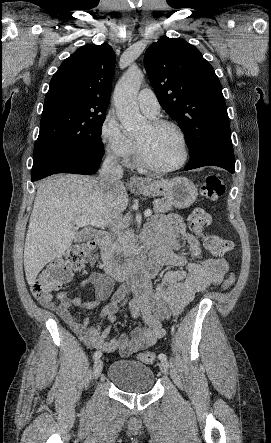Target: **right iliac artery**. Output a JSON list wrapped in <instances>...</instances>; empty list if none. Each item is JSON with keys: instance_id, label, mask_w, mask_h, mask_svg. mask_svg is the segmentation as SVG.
Wrapping results in <instances>:
<instances>
[{"instance_id": "obj_1", "label": "right iliac artery", "mask_w": 271, "mask_h": 443, "mask_svg": "<svg viewBox=\"0 0 271 443\" xmlns=\"http://www.w3.org/2000/svg\"><path fill=\"white\" fill-rule=\"evenodd\" d=\"M101 355H102V352H101V351H96V352L93 354V359H94V360H97V359H99V358L101 357Z\"/></svg>"}]
</instances>
